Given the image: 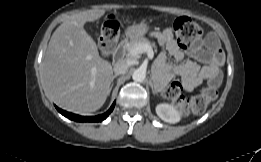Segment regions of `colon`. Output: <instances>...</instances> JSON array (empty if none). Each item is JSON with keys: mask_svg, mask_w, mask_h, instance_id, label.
<instances>
[{"mask_svg": "<svg viewBox=\"0 0 261 162\" xmlns=\"http://www.w3.org/2000/svg\"><path fill=\"white\" fill-rule=\"evenodd\" d=\"M173 31L182 45L202 36V27L188 17H178L173 22ZM120 34V24L113 15L109 16L99 28V47L103 55H110L115 48ZM163 96L176 103L183 111L191 110L193 113H203L208 103L216 97V88L209 85L202 91L187 100L182 95V85L179 81H172L164 91Z\"/></svg>", "mask_w": 261, "mask_h": 162, "instance_id": "1", "label": "colon"}]
</instances>
